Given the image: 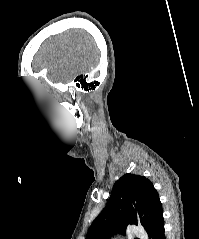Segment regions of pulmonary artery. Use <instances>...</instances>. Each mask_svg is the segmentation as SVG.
I'll return each mask as SVG.
<instances>
[{"mask_svg":"<svg viewBox=\"0 0 199 239\" xmlns=\"http://www.w3.org/2000/svg\"><path fill=\"white\" fill-rule=\"evenodd\" d=\"M132 234L136 237H139L141 239H145L146 238V232L144 229H142L139 226H134L132 229Z\"/></svg>","mask_w":199,"mask_h":239,"instance_id":"obj_1","label":"pulmonary artery"}]
</instances>
